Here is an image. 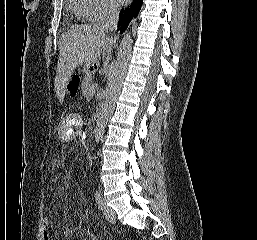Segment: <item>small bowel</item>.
<instances>
[{
	"label": "small bowel",
	"mask_w": 257,
	"mask_h": 240,
	"mask_svg": "<svg viewBox=\"0 0 257 240\" xmlns=\"http://www.w3.org/2000/svg\"><path fill=\"white\" fill-rule=\"evenodd\" d=\"M76 236L77 233L67 225V222H65L64 226L58 233V236L53 240H73Z\"/></svg>",
	"instance_id": "small-bowel-1"
}]
</instances>
